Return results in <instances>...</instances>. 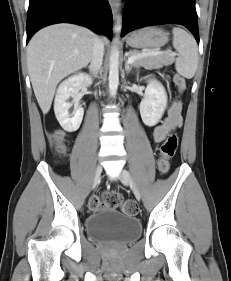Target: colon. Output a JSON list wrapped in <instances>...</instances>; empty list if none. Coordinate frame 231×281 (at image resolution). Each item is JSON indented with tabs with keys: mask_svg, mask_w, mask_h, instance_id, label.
Returning <instances> with one entry per match:
<instances>
[{
	"mask_svg": "<svg viewBox=\"0 0 231 281\" xmlns=\"http://www.w3.org/2000/svg\"><path fill=\"white\" fill-rule=\"evenodd\" d=\"M174 83L178 88L180 93L186 90V81L179 75H174ZM64 134L60 130L53 131L49 134V141L54 150L58 154H63L65 152V146L63 142ZM178 145V139L175 134H171L163 142L160 147V155L157 161V167L161 174H166L170 168V159L174 156ZM89 209L91 211H96L103 206L110 208L122 207L124 213L129 215H136L138 213V206L132 200H126L123 202L122 195L117 191L107 192L102 198L93 197L89 201Z\"/></svg>",
	"mask_w": 231,
	"mask_h": 281,
	"instance_id": "obj_1",
	"label": "colon"
}]
</instances>
